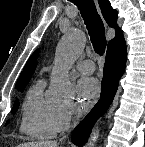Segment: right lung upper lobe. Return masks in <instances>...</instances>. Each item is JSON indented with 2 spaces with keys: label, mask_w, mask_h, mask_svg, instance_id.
Instances as JSON below:
<instances>
[{
  "label": "right lung upper lobe",
  "mask_w": 145,
  "mask_h": 147,
  "mask_svg": "<svg viewBox=\"0 0 145 147\" xmlns=\"http://www.w3.org/2000/svg\"><path fill=\"white\" fill-rule=\"evenodd\" d=\"M98 2H99L104 19L106 20L109 26L114 27L116 30L115 38L122 35V31L120 30L119 27L116 26V23H117L116 10L111 7L108 0H98ZM38 53H39V50L35 51L34 54L29 58L28 62L26 63L16 83V89L24 88L26 84L28 83V81L30 80L31 74L34 72L35 67L37 65L36 59H37Z\"/></svg>",
  "instance_id": "right-lung-upper-lobe-1"
}]
</instances>
